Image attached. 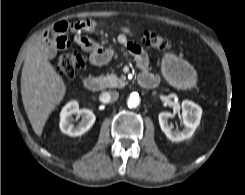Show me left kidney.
Wrapping results in <instances>:
<instances>
[{"mask_svg": "<svg viewBox=\"0 0 245 195\" xmlns=\"http://www.w3.org/2000/svg\"><path fill=\"white\" fill-rule=\"evenodd\" d=\"M202 109L197 104L185 100L182 102V119L184 129L182 131L173 130L169 125L168 120L172 117L170 112H161L158 116L161 130L165 133L168 139L174 142H179L190 138L198 125L200 124Z\"/></svg>", "mask_w": 245, "mask_h": 195, "instance_id": "obj_1", "label": "left kidney"}]
</instances>
